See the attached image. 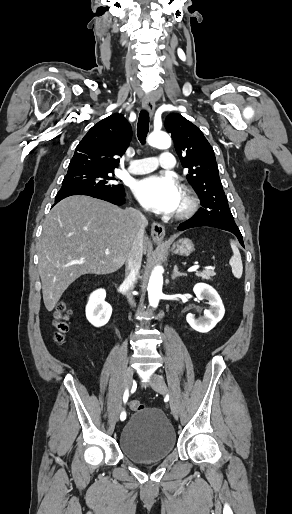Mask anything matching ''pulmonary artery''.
Returning <instances> with one entry per match:
<instances>
[{
  "label": "pulmonary artery",
  "instance_id": "e3ab8cb5",
  "mask_svg": "<svg viewBox=\"0 0 292 514\" xmlns=\"http://www.w3.org/2000/svg\"><path fill=\"white\" fill-rule=\"evenodd\" d=\"M160 170L162 172H171L175 165V158L173 157V152L166 150L162 152ZM133 173L135 174H144L146 172H155L158 169V164L153 161V159L149 156L146 157H134L131 160Z\"/></svg>",
  "mask_w": 292,
  "mask_h": 514
}]
</instances>
